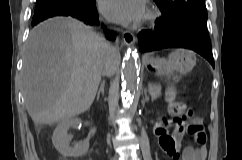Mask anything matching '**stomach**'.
Returning a JSON list of instances; mask_svg holds the SVG:
<instances>
[{
	"label": "stomach",
	"instance_id": "0dacf381",
	"mask_svg": "<svg viewBox=\"0 0 242 160\" xmlns=\"http://www.w3.org/2000/svg\"><path fill=\"white\" fill-rule=\"evenodd\" d=\"M196 63L195 54L187 49H177L165 58H146L145 64L149 69L154 70L157 75L169 74L175 70L185 74L189 72Z\"/></svg>",
	"mask_w": 242,
	"mask_h": 160
}]
</instances>
